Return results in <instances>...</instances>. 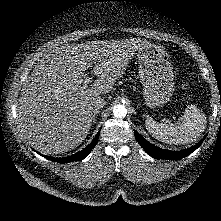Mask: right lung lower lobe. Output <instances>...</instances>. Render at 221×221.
<instances>
[{
    "instance_id": "obj_1",
    "label": "right lung lower lobe",
    "mask_w": 221,
    "mask_h": 221,
    "mask_svg": "<svg viewBox=\"0 0 221 221\" xmlns=\"http://www.w3.org/2000/svg\"><path fill=\"white\" fill-rule=\"evenodd\" d=\"M98 138H99L98 135H96L95 138L93 139V141L91 142V144L88 145V147H86L84 150H82V151H80L76 154H73L69 157L52 158V157L47 156V158L49 160H52V161H55V162H58V163H66V162H69V161H80V160L84 159L91 152V150L93 149V147L97 143Z\"/></svg>"
}]
</instances>
